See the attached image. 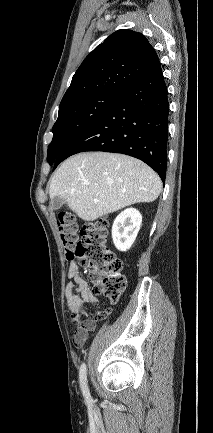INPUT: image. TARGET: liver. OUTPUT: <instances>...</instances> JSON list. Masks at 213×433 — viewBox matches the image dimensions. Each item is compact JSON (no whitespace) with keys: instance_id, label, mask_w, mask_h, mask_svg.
Returning a JSON list of instances; mask_svg holds the SVG:
<instances>
[{"instance_id":"1","label":"liver","mask_w":213,"mask_h":433,"mask_svg":"<svg viewBox=\"0 0 213 433\" xmlns=\"http://www.w3.org/2000/svg\"><path fill=\"white\" fill-rule=\"evenodd\" d=\"M161 188L160 177L142 161L90 152L62 163L51 179L49 196H60L79 218L93 221L135 203L153 202Z\"/></svg>"}]
</instances>
